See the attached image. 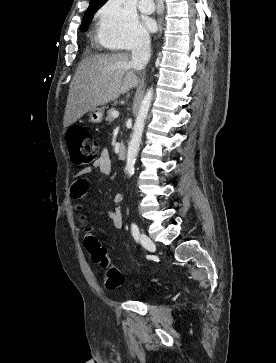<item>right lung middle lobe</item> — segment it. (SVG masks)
<instances>
[{"label": "right lung middle lobe", "mask_w": 276, "mask_h": 363, "mask_svg": "<svg viewBox=\"0 0 276 363\" xmlns=\"http://www.w3.org/2000/svg\"><path fill=\"white\" fill-rule=\"evenodd\" d=\"M100 5H91L88 7V9L86 10L83 20H82V24L80 26V30L82 31H86L88 29V26L93 18V15L98 11Z\"/></svg>", "instance_id": "dd1d6c3e"}]
</instances>
